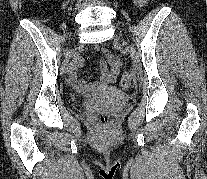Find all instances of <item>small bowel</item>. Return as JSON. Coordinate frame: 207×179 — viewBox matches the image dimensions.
<instances>
[{
  "mask_svg": "<svg viewBox=\"0 0 207 179\" xmlns=\"http://www.w3.org/2000/svg\"><path fill=\"white\" fill-rule=\"evenodd\" d=\"M149 1L150 0H136L140 5H145ZM91 49L101 53V79L94 83H89L87 79L79 80L77 78V69L83 64V60L78 56L75 57L69 69L67 83L78 93L103 90L115 83L119 76L121 61L118 56L105 47L99 48L98 46H92Z\"/></svg>",
  "mask_w": 207,
  "mask_h": 179,
  "instance_id": "c3829d8e",
  "label": "small bowel"
}]
</instances>
